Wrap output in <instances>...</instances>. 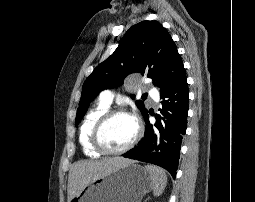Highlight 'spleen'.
<instances>
[{
  "label": "spleen",
  "instance_id": "3e777b00",
  "mask_svg": "<svg viewBox=\"0 0 255 202\" xmlns=\"http://www.w3.org/2000/svg\"><path fill=\"white\" fill-rule=\"evenodd\" d=\"M146 170L149 172L153 179L154 183L153 194L155 196L161 195L167 183V175L165 171L153 165H147Z\"/></svg>",
  "mask_w": 255,
  "mask_h": 202
}]
</instances>
